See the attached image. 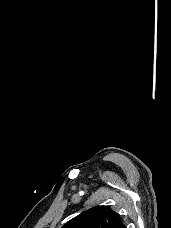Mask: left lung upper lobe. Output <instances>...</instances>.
Returning a JSON list of instances; mask_svg holds the SVG:
<instances>
[{
	"mask_svg": "<svg viewBox=\"0 0 171 228\" xmlns=\"http://www.w3.org/2000/svg\"><path fill=\"white\" fill-rule=\"evenodd\" d=\"M119 214L107 206L86 210L67 222L62 228H123Z\"/></svg>",
	"mask_w": 171,
	"mask_h": 228,
	"instance_id": "5c2ea615",
	"label": "left lung upper lobe"
}]
</instances>
